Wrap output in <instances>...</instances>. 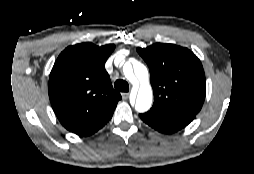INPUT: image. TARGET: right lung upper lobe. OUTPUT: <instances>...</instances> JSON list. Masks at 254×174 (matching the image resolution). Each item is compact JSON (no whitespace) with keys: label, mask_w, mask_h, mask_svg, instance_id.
Here are the masks:
<instances>
[{"label":"right lung upper lobe","mask_w":254,"mask_h":174,"mask_svg":"<svg viewBox=\"0 0 254 174\" xmlns=\"http://www.w3.org/2000/svg\"><path fill=\"white\" fill-rule=\"evenodd\" d=\"M115 45L81 43L67 47L49 78V98L56 116L69 131L87 127L116 108L121 99L113 89L105 62Z\"/></svg>","instance_id":"cb5924a9"}]
</instances>
